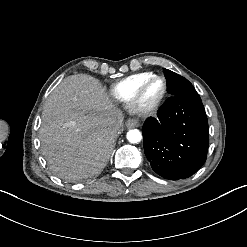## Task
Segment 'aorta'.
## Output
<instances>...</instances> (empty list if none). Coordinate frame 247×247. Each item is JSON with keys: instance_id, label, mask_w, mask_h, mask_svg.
I'll return each instance as SVG.
<instances>
[{"instance_id": "obj_1", "label": "aorta", "mask_w": 247, "mask_h": 247, "mask_svg": "<svg viewBox=\"0 0 247 247\" xmlns=\"http://www.w3.org/2000/svg\"><path fill=\"white\" fill-rule=\"evenodd\" d=\"M127 139L130 143H138L142 139V134L139 130L133 129L127 132Z\"/></svg>"}]
</instances>
